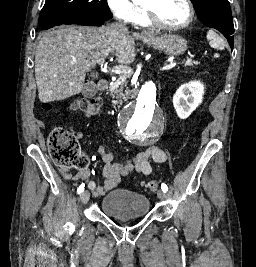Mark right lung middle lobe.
Instances as JSON below:
<instances>
[{"instance_id":"dd1d6c3e","label":"right lung middle lobe","mask_w":256,"mask_h":267,"mask_svg":"<svg viewBox=\"0 0 256 267\" xmlns=\"http://www.w3.org/2000/svg\"><path fill=\"white\" fill-rule=\"evenodd\" d=\"M112 14L107 0H47L39 17V25H48L69 19H95L105 21Z\"/></svg>"}]
</instances>
